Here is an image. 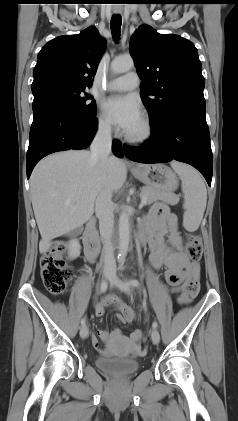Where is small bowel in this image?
<instances>
[{
  "mask_svg": "<svg viewBox=\"0 0 238 421\" xmlns=\"http://www.w3.org/2000/svg\"><path fill=\"white\" fill-rule=\"evenodd\" d=\"M141 230L145 235L150 247L149 261L151 266L159 270L165 267V278L173 293L181 290L184 281L192 279L199 271V265L191 262L187 257L180 232L178 230L177 216L165 205L158 204L141 224ZM167 237V242L165 241ZM114 307L117 310L116 317L121 322H131L135 319V313L120 298L108 295L96 306V315L102 316L105 309ZM98 337L109 344H123L130 349H136L137 342L142 337L140 330H134L129 337L122 335L119 329L97 331ZM93 346L102 354H109L110 350L101 347L98 338H91Z\"/></svg>",
  "mask_w": 238,
  "mask_h": 421,
  "instance_id": "small-bowel-1",
  "label": "small bowel"
}]
</instances>
